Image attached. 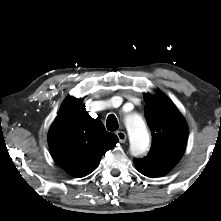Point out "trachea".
<instances>
[{
    "label": "trachea",
    "instance_id": "obj_1",
    "mask_svg": "<svg viewBox=\"0 0 221 221\" xmlns=\"http://www.w3.org/2000/svg\"><path fill=\"white\" fill-rule=\"evenodd\" d=\"M106 126L109 131H116L118 129L119 125L115 115L110 114L107 117Z\"/></svg>",
    "mask_w": 221,
    "mask_h": 221
}]
</instances>
